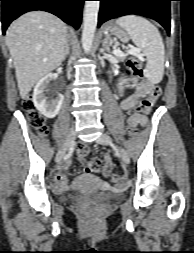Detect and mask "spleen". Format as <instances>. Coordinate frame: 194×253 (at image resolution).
<instances>
[{"label":"spleen","instance_id":"spleen-1","mask_svg":"<svg viewBox=\"0 0 194 253\" xmlns=\"http://www.w3.org/2000/svg\"><path fill=\"white\" fill-rule=\"evenodd\" d=\"M116 23L125 29L133 43L147 58L145 76L152 83H159L164 74L165 50L158 29L148 20L135 15L118 18Z\"/></svg>","mask_w":194,"mask_h":253}]
</instances>
